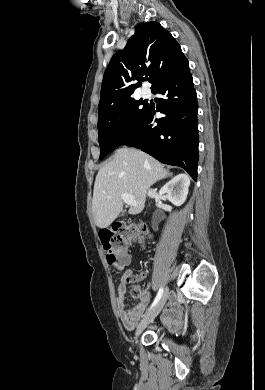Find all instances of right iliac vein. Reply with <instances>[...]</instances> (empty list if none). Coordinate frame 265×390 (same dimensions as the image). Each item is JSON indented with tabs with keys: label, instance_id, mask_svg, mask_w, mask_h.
<instances>
[{
	"label": "right iliac vein",
	"instance_id": "1",
	"mask_svg": "<svg viewBox=\"0 0 265 390\" xmlns=\"http://www.w3.org/2000/svg\"><path fill=\"white\" fill-rule=\"evenodd\" d=\"M169 295V290L166 288L158 301V303L155 305V307L140 321V323L137 326L135 338L137 339L138 336L141 334V332L144 330V328L152 322L155 317L161 312L163 309Z\"/></svg>",
	"mask_w": 265,
	"mask_h": 390
}]
</instances>
